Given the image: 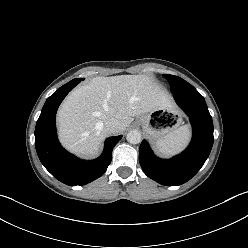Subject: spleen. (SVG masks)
Listing matches in <instances>:
<instances>
[{
    "label": "spleen",
    "instance_id": "spleen-1",
    "mask_svg": "<svg viewBox=\"0 0 248 248\" xmlns=\"http://www.w3.org/2000/svg\"><path fill=\"white\" fill-rule=\"evenodd\" d=\"M190 135L189 126L183 125L159 138L155 144L162 154L171 156L179 153L188 144Z\"/></svg>",
    "mask_w": 248,
    "mask_h": 248
}]
</instances>
